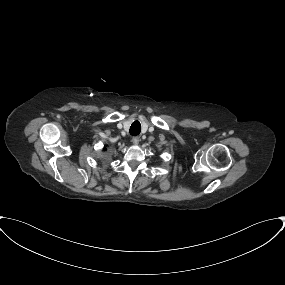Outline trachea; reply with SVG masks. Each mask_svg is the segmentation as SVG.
I'll use <instances>...</instances> for the list:
<instances>
[{
	"instance_id": "trachea-1",
	"label": "trachea",
	"mask_w": 285,
	"mask_h": 285,
	"mask_svg": "<svg viewBox=\"0 0 285 285\" xmlns=\"http://www.w3.org/2000/svg\"><path fill=\"white\" fill-rule=\"evenodd\" d=\"M130 134L133 136H137L141 132V124L139 121H134L130 127Z\"/></svg>"
}]
</instances>
